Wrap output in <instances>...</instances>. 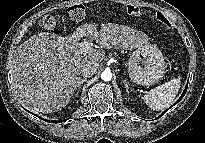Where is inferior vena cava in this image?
Masks as SVG:
<instances>
[{"label":"inferior vena cava","instance_id":"1","mask_svg":"<svg viewBox=\"0 0 205 143\" xmlns=\"http://www.w3.org/2000/svg\"><path fill=\"white\" fill-rule=\"evenodd\" d=\"M98 69V63L97 62H88L84 65V67L81 70V74L83 77H91L93 76Z\"/></svg>","mask_w":205,"mask_h":143}]
</instances>
